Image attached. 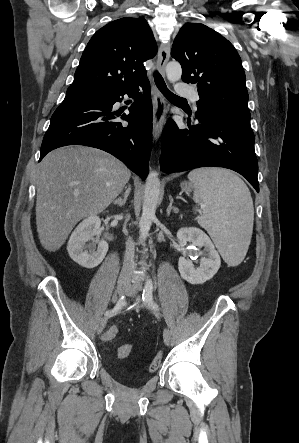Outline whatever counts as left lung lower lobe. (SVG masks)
<instances>
[{"label":"left lung lower lobe","mask_w":299,"mask_h":443,"mask_svg":"<svg viewBox=\"0 0 299 443\" xmlns=\"http://www.w3.org/2000/svg\"><path fill=\"white\" fill-rule=\"evenodd\" d=\"M186 122L188 129L179 128L172 120L165 125L160 157L163 172L224 167L243 175L259 192L255 138L249 120L188 117Z\"/></svg>","instance_id":"obj_1"}]
</instances>
